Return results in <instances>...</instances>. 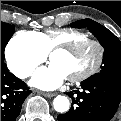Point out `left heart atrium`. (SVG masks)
<instances>
[{"mask_svg": "<svg viewBox=\"0 0 121 121\" xmlns=\"http://www.w3.org/2000/svg\"><path fill=\"white\" fill-rule=\"evenodd\" d=\"M65 79L63 72L51 64L38 69L33 76L32 83L39 88L53 90L60 87Z\"/></svg>", "mask_w": 121, "mask_h": 121, "instance_id": "39dd6f15", "label": "left heart atrium"}]
</instances>
